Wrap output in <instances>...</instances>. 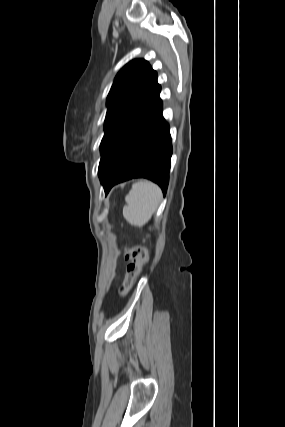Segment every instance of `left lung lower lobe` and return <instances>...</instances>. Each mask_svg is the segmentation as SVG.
Segmentation results:
<instances>
[{"label":"left lung lower lobe","instance_id":"1","mask_svg":"<svg viewBox=\"0 0 285 427\" xmlns=\"http://www.w3.org/2000/svg\"><path fill=\"white\" fill-rule=\"evenodd\" d=\"M159 93L101 157L98 174L106 194L113 185L137 177L156 182L166 193L172 146L169 126L162 116Z\"/></svg>","mask_w":285,"mask_h":427}]
</instances>
